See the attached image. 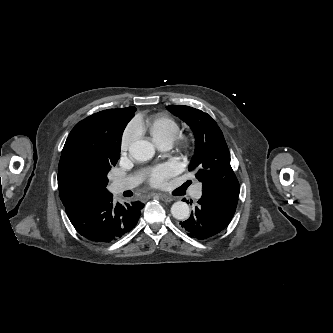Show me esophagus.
Returning <instances> with one entry per match:
<instances>
[{
  "label": "esophagus",
  "mask_w": 333,
  "mask_h": 333,
  "mask_svg": "<svg viewBox=\"0 0 333 333\" xmlns=\"http://www.w3.org/2000/svg\"><path fill=\"white\" fill-rule=\"evenodd\" d=\"M159 197L164 202H171V201H173V197L168 196V195L160 194Z\"/></svg>",
  "instance_id": "1"
}]
</instances>
